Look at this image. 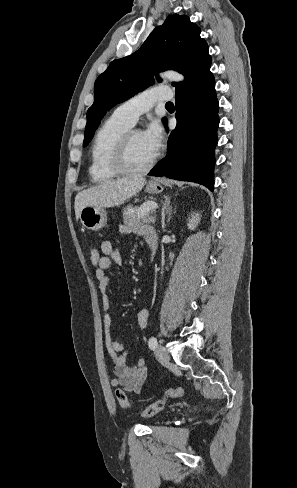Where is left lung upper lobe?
<instances>
[{"mask_svg": "<svg viewBox=\"0 0 297 488\" xmlns=\"http://www.w3.org/2000/svg\"><path fill=\"white\" fill-rule=\"evenodd\" d=\"M200 32L186 15H171L151 32L138 51L112 61L95 82L83 146L91 141L107 111L152 85L153 75L160 71L173 69L185 76V82L172 84L176 94L191 89L198 79L211 73L208 45Z\"/></svg>", "mask_w": 297, "mask_h": 488, "instance_id": "1", "label": "left lung upper lobe"}]
</instances>
